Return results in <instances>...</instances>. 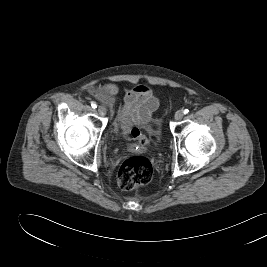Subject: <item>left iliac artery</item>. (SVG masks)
Here are the masks:
<instances>
[{
    "mask_svg": "<svg viewBox=\"0 0 267 267\" xmlns=\"http://www.w3.org/2000/svg\"><path fill=\"white\" fill-rule=\"evenodd\" d=\"M183 112H184V114H188L189 113V110L188 109H185Z\"/></svg>",
    "mask_w": 267,
    "mask_h": 267,
    "instance_id": "obj_1",
    "label": "left iliac artery"
}]
</instances>
